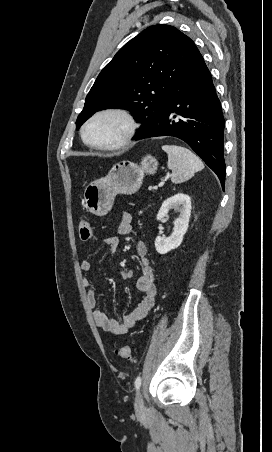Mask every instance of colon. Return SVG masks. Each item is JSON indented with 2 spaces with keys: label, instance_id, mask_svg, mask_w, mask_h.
<instances>
[{
  "label": "colon",
  "instance_id": "1",
  "mask_svg": "<svg viewBox=\"0 0 272 452\" xmlns=\"http://www.w3.org/2000/svg\"><path fill=\"white\" fill-rule=\"evenodd\" d=\"M79 234L80 238L83 241L90 240L93 236V229L91 224L86 220H81L79 222ZM116 356L124 359V360H131L133 358V352L132 349L129 346H123L116 350L115 352Z\"/></svg>",
  "mask_w": 272,
  "mask_h": 452
}]
</instances>
